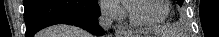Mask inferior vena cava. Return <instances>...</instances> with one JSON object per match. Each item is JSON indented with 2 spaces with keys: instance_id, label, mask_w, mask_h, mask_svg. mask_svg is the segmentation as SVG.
I'll use <instances>...</instances> for the list:
<instances>
[{
  "instance_id": "inferior-vena-cava-1",
  "label": "inferior vena cava",
  "mask_w": 219,
  "mask_h": 37,
  "mask_svg": "<svg viewBox=\"0 0 219 37\" xmlns=\"http://www.w3.org/2000/svg\"><path fill=\"white\" fill-rule=\"evenodd\" d=\"M115 16H116L115 6H112V5L103 6L101 7V14L98 18V22L105 31H108V29H110L113 23V19L115 18Z\"/></svg>"
}]
</instances>
